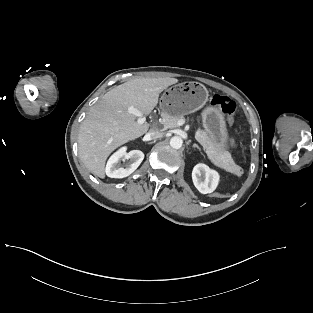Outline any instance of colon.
Here are the masks:
<instances>
[{
  "mask_svg": "<svg viewBox=\"0 0 313 313\" xmlns=\"http://www.w3.org/2000/svg\"><path fill=\"white\" fill-rule=\"evenodd\" d=\"M211 104L224 114L228 125L232 126L237 108L235 101L227 96L216 94L213 96ZM228 144L231 149H236V142L233 138L229 139Z\"/></svg>",
  "mask_w": 313,
  "mask_h": 313,
  "instance_id": "5ec220e1",
  "label": "colon"
}]
</instances>
